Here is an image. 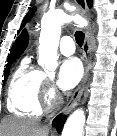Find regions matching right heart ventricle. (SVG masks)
Listing matches in <instances>:
<instances>
[{
  "label": "right heart ventricle",
  "mask_w": 117,
  "mask_h": 136,
  "mask_svg": "<svg viewBox=\"0 0 117 136\" xmlns=\"http://www.w3.org/2000/svg\"><path fill=\"white\" fill-rule=\"evenodd\" d=\"M44 78V73L24 58L8 86V110L18 116L39 118L43 113L40 93Z\"/></svg>",
  "instance_id": "obj_1"
}]
</instances>
